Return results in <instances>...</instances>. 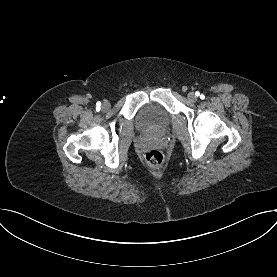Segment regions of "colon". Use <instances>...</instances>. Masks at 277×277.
<instances>
[{
	"mask_svg": "<svg viewBox=\"0 0 277 277\" xmlns=\"http://www.w3.org/2000/svg\"><path fill=\"white\" fill-rule=\"evenodd\" d=\"M164 159V154L157 149L150 150L145 154V161L149 166L154 168L161 167L164 163Z\"/></svg>",
	"mask_w": 277,
	"mask_h": 277,
	"instance_id": "colon-1",
	"label": "colon"
}]
</instances>
